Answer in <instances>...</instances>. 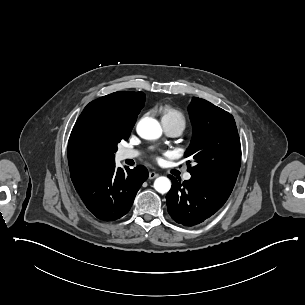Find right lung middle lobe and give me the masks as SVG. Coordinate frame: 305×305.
Masks as SVG:
<instances>
[{
  "instance_id": "right-lung-middle-lobe-1",
  "label": "right lung middle lobe",
  "mask_w": 305,
  "mask_h": 305,
  "mask_svg": "<svg viewBox=\"0 0 305 305\" xmlns=\"http://www.w3.org/2000/svg\"><path fill=\"white\" fill-rule=\"evenodd\" d=\"M131 131H117L110 134L102 135L100 137V143L102 144L106 159L109 164L115 163L114 153L117 151V144L121 140H127Z\"/></svg>"
}]
</instances>
